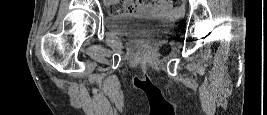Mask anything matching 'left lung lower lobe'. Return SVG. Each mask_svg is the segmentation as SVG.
<instances>
[{
  "label": "left lung lower lobe",
  "mask_w": 267,
  "mask_h": 115,
  "mask_svg": "<svg viewBox=\"0 0 267 115\" xmlns=\"http://www.w3.org/2000/svg\"><path fill=\"white\" fill-rule=\"evenodd\" d=\"M137 87H145V86L137 85ZM147 88L152 89L153 91H159L156 87H151V86H149V87H147Z\"/></svg>",
  "instance_id": "0a47b994"
}]
</instances>
